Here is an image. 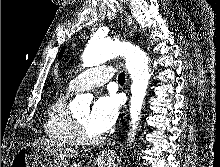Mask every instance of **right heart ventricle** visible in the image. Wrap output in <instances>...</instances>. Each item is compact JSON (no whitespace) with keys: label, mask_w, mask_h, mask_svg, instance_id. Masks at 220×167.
I'll list each match as a JSON object with an SVG mask.
<instances>
[{"label":"right heart ventricle","mask_w":220,"mask_h":167,"mask_svg":"<svg viewBox=\"0 0 220 167\" xmlns=\"http://www.w3.org/2000/svg\"><path fill=\"white\" fill-rule=\"evenodd\" d=\"M69 93H59L50 101L44 121V132L54 143L61 146L76 145L71 112L67 106Z\"/></svg>","instance_id":"1"}]
</instances>
